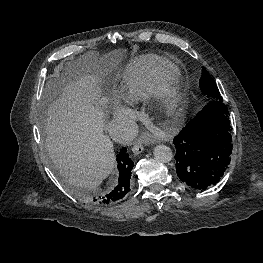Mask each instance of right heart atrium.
Segmentation results:
<instances>
[{
    "label": "right heart atrium",
    "instance_id": "obj_1",
    "mask_svg": "<svg viewBox=\"0 0 263 263\" xmlns=\"http://www.w3.org/2000/svg\"><path fill=\"white\" fill-rule=\"evenodd\" d=\"M115 114L119 119L126 120V121H129L132 118V114L130 113V111H128L127 109L123 107H117L115 109Z\"/></svg>",
    "mask_w": 263,
    "mask_h": 263
}]
</instances>
